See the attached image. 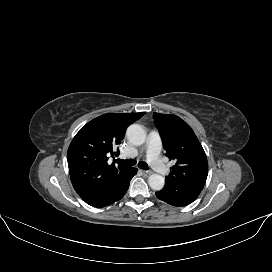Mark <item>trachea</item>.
Masks as SVG:
<instances>
[{
    "label": "trachea",
    "instance_id": "1",
    "mask_svg": "<svg viewBox=\"0 0 272 272\" xmlns=\"http://www.w3.org/2000/svg\"><path fill=\"white\" fill-rule=\"evenodd\" d=\"M115 162L118 163L121 166L124 167H132L135 165V161L133 159H115ZM139 168L143 169V170H148V165L145 162H139L138 163Z\"/></svg>",
    "mask_w": 272,
    "mask_h": 272
}]
</instances>
